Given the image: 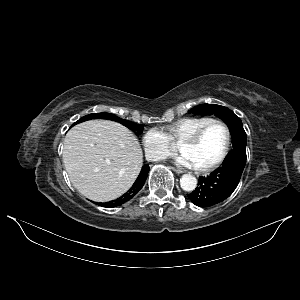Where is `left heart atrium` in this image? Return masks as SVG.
<instances>
[{
    "instance_id": "39dd6f15",
    "label": "left heart atrium",
    "mask_w": 300,
    "mask_h": 300,
    "mask_svg": "<svg viewBox=\"0 0 300 300\" xmlns=\"http://www.w3.org/2000/svg\"><path fill=\"white\" fill-rule=\"evenodd\" d=\"M175 162L177 165L183 166V167H188V168H194L195 165L192 161V159L187 155L182 153L178 157H176Z\"/></svg>"
}]
</instances>
